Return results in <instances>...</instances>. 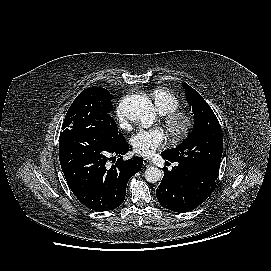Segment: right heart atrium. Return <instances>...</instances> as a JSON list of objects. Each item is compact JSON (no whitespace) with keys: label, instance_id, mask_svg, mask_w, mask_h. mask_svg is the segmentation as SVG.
Instances as JSON below:
<instances>
[{"label":"right heart atrium","instance_id":"obj_1","mask_svg":"<svg viewBox=\"0 0 271 271\" xmlns=\"http://www.w3.org/2000/svg\"><path fill=\"white\" fill-rule=\"evenodd\" d=\"M116 114H117V117H118V119L120 121H124L125 120V113L123 112L120 104L116 108Z\"/></svg>","mask_w":271,"mask_h":271}]
</instances>
